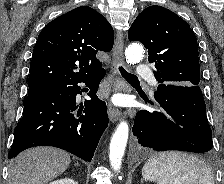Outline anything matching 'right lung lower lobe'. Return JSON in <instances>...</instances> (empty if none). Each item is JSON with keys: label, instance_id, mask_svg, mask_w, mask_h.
<instances>
[{"label": "right lung lower lobe", "instance_id": "obj_1", "mask_svg": "<svg viewBox=\"0 0 224 184\" xmlns=\"http://www.w3.org/2000/svg\"><path fill=\"white\" fill-rule=\"evenodd\" d=\"M105 70L79 80L43 87L29 92L23 102V117L15 128L8 158L34 146H53L64 149L90 162L99 139L108 125L106 103L96 92ZM90 88L84 107L77 113L76 95L81 94L79 83Z\"/></svg>", "mask_w": 224, "mask_h": 184}]
</instances>
